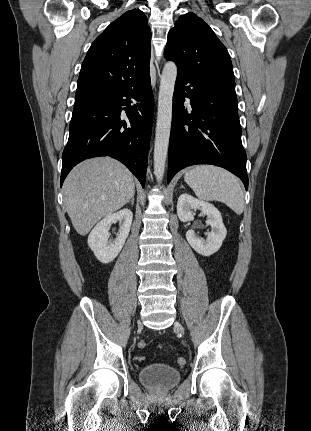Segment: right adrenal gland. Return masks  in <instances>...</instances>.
<instances>
[{"instance_id":"obj_1","label":"right adrenal gland","mask_w":311,"mask_h":431,"mask_svg":"<svg viewBox=\"0 0 311 431\" xmlns=\"http://www.w3.org/2000/svg\"><path fill=\"white\" fill-rule=\"evenodd\" d=\"M130 202H131V206H134V196L133 198H131ZM130 202H128V204H130Z\"/></svg>"}]
</instances>
